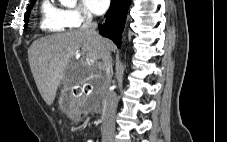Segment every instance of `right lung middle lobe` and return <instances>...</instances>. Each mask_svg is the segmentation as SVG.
<instances>
[{"label":"right lung middle lobe","mask_w":227,"mask_h":142,"mask_svg":"<svg viewBox=\"0 0 227 142\" xmlns=\"http://www.w3.org/2000/svg\"><path fill=\"white\" fill-rule=\"evenodd\" d=\"M34 3H35V1L31 3V6L28 8L27 12L25 13V17H24L25 27L28 23V15H29L30 9L32 8Z\"/></svg>","instance_id":"right-lung-middle-lobe-1"}]
</instances>
